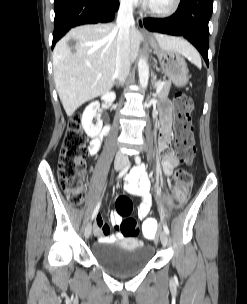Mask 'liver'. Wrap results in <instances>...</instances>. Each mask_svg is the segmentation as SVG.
Returning a JSON list of instances; mask_svg holds the SVG:
<instances>
[{"instance_id": "6515ba94", "label": "liver", "mask_w": 247, "mask_h": 304, "mask_svg": "<svg viewBox=\"0 0 247 304\" xmlns=\"http://www.w3.org/2000/svg\"><path fill=\"white\" fill-rule=\"evenodd\" d=\"M130 55L134 61L142 34L130 28ZM118 30L113 23L83 25L71 29L53 51V74L59 98L67 116L85 102L108 92L115 80ZM162 51H174L189 58L198 55L185 40L154 34ZM76 39L74 51L68 40Z\"/></svg>"}]
</instances>
